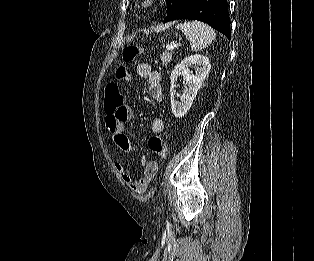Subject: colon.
<instances>
[{"label":"colon","mask_w":314,"mask_h":261,"mask_svg":"<svg viewBox=\"0 0 314 261\" xmlns=\"http://www.w3.org/2000/svg\"><path fill=\"white\" fill-rule=\"evenodd\" d=\"M142 54V50L137 46H127L123 51V65H120L116 71V80L110 82L106 86L105 109L115 111L118 107L125 104V94L122 87V82L129 80L130 73L126 64L132 63ZM149 148L151 152L158 155L160 158H165L168 149L165 141L159 135H153L149 139Z\"/></svg>","instance_id":"obj_1"}]
</instances>
